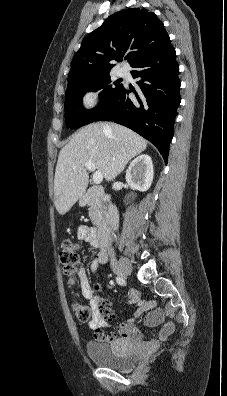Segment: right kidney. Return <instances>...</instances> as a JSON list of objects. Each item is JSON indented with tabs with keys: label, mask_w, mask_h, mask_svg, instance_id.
Returning a JSON list of instances; mask_svg holds the SVG:
<instances>
[{
	"label": "right kidney",
	"mask_w": 227,
	"mask_h": 396,
	"mask_svg": "<svg viewBox=\"0 0 227 396\" xmlns=\"http://www.w3.org/2000/svg\"><path fill=\"white\" fill-rule=\"evenodd\" d=\"M153 163L147 154L135 158L126 171V181L129 186L139 191H147L153 181Z\"/></svg>",
	"instance_id": "ca27d5eb"
}]
</instances>
